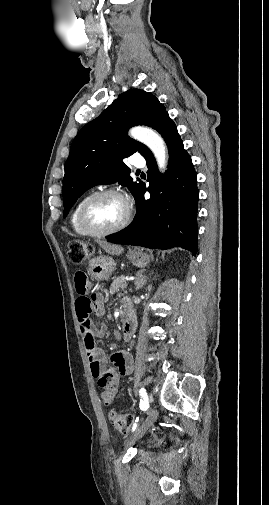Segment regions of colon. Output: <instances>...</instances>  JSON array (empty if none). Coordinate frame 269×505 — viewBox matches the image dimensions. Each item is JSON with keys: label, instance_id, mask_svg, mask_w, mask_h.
Segmentation results:
<instances>
[{"label": "colon", "instance_id": "obj_1", "mask_svg": "<svg viewBox=\"0 0 269 505\" xmlns=\"http://www.w3.org/2000/svg\"><path fill=\"white\" fill-rule=\"evenodd\" d=\"M68 255L70 261L78 265L89 258L91 249L88 245L74 241L70 243ZM119 381L120 377L114 369L107 370L98 376V385L102 390L103 398L107 402L114 397ZM109 418L117 431L123 434L128 432L132 423V416L130 414H122L115 410H111L109 412Z\"/></svg>", "mask_w": 269, "mask_h": 505}]
</instances>
